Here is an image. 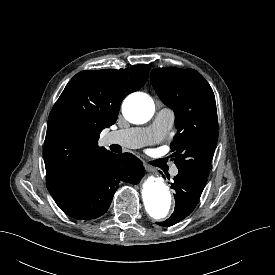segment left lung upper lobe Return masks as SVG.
Listing matches in <instances>:
<instances>
[{
    "label": "left lung upper lobe",
    "mask_w": 275,
    "mask_h": 275,
    "mask_svg": "<svg viewBox=\"0 0 275 275\" xmlns=\"http://www.w3.org/2000/svg\"><path fill=\"white\" fill-rule=\"evenodd\" d=\"M150 79L162 102L175 112L178 132L170 146L176 167L208 176L218 138L212 88L194 69L156 68Z\"/></svg>",
    "instance_id": "1"
}]
</instances>
